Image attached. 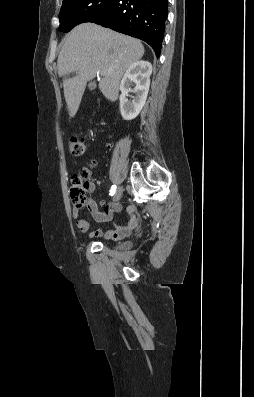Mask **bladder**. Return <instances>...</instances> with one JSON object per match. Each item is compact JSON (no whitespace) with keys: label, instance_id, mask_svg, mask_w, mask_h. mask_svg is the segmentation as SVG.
<instances>
[{"label":"bladder","instance_id":"31cf9c89","mask_svg":"<svg viewBox=\"0 0 254 397\" xmlns=\"http://www.w3.org/2000/svg\"><path fill=\"white\" fill-rule=\"evenodd\" d=\"M117 246L121 247V246H123V243L120 242V243L117 244Z\"/></svg>","mask_w":254,"mask_h":397}]
</instances>
